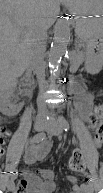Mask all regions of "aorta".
<instances>
[{
  "label": "aorta",
  "instance_id": "obj_1",
  "mask_svg": "<svg viewBox=\"0 0 103 193\" xmlns=\"http://www.w3.org/2000/svg\"><path fill=\"white\" fill-rule=\"evenodd\" d=\"M69 39V22L66 19H60L55 26L54 37L49 54V65L52 69L58 67L62 56L67 50Z\"/></svg>",
  "mask_w": 103,
  "mask_h": 193
}]
</instances>
